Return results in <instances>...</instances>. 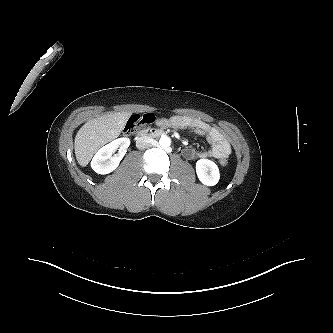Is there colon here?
Wrapping results in <instances>:
<instances>
[{
	"mask_svg": "<svg viewBox=\"0 0 333 333\" xmlns=\"http://www.w3.org/2000/svg\"><path fill=\"white\" fill-rule=\"evenodd\" d=\"M154 121H155V117L150 113H147V114H144L141 116H136L129 120V122L127 123V125L124 129V133L127 135H130L138 127L148 126V125L152 124ZM218 163L221 167H227L228 159L226 158V156H222L219 159Z\"/></svg>",
	"mask_w": 333,
	"mask_h": 333,
	"instance_id": "obj_1",
	"label": "colon"
}]
</instances>
